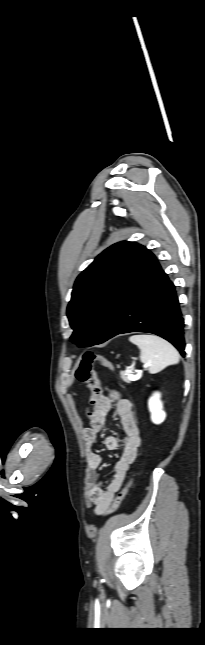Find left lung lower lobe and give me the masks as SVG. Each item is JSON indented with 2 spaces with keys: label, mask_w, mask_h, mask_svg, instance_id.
I'll list each match as a JSON object with an SVG mask.
<instances>
[{
  "label": "left lung lower lobe",
  "mask_w": 205,
  "mask_h": 645,
  "mask_svg": "<svg viewBox=\"0 0 205 645\" xmlns=\"http://www.w3.org/2000/svg\"><path fill=\"white\" fill-rule=\"evenodd\" d=\"M129 332L156 334L185 355L184 320L175 286L144 246L122 288L105 341Z\"/></svg>",
  "instance_id": "left-lung-lower-lobe-1"
}]
</instances>
